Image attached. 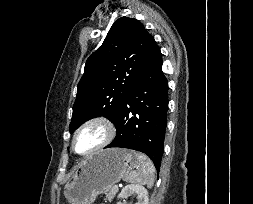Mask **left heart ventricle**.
<instances>
[{"label": "left heart ventricle", "mask_w": 253, "mask_h": 204, "mask_svg": "<svg viewBox=\"0 0 253 204\" xmlns=\"http://www.w3.org/2000/svg\"><path fill=\"white\" fill-rule=\"evenodd\" d=\"M105 137V130L100 125H92L81 131L76 138V150L85 153L100 143Z\"/></svg>", "instance_id": "1"}]
</instances>
